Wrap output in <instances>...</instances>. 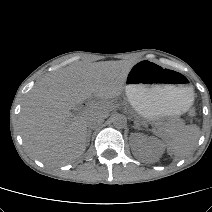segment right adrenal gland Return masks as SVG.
Here are the masks:
<instances>
[{
  "label": "right adrenal gland",
  "mask_w": 212,
  "mask_h": 212,
  "mask_svg": "<svg viewBox=\"0 0 212 212\" xmlns=\"http://www.w3.org/2000/svg\"><path fill=\"white\" fill-rule=\"evenodd\" d=\"M91 133H92V129H89V130L87 131V143H88V144H89V142H90Z\"/></svg>",
  "instance_id": "1"
}]
</instances>
